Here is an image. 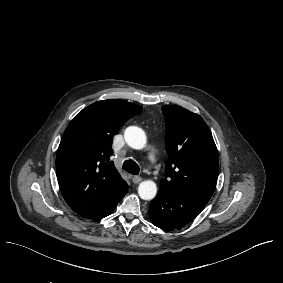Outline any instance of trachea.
I'll use <instances>...</instances> for the list:
<instances>
[{
    "mask_svg": "<svg viewBox=\"0 0 283 283\" xmlns=\"http://www.w3.org/2000/svg\"><path fill=\"white\" fill-rule=\"evenodd\" d=\"M122 169L129 172L130 174H133V175H138L139 172H140L139 166L133 160L124 161V163L122 165Z\"/></svg>",
    "mask_w": 283,
    "mask_h": 283,
    "instance_id": "3493384b",
    "label": "trachea"
}]
</instances>
